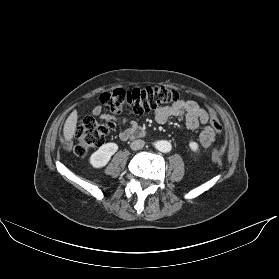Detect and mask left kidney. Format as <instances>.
I'll return each mask as SVG.
<instances>
[{"instance_id": "5707ae66", "label": "left kidney", "mask_w": 279, "mask_h": 279, "mask_svg": "<svg viewBox=\"0 0 279 279\" xmlns=\"http://www.w3.org/2000/svg\"><path fill=\"white\" fill-rule=\"evenodd\" d=\"M189 148L193 151V152H199V145L197 142L195 141H190L189 142Z\"/></svg>"}]
</instances>
